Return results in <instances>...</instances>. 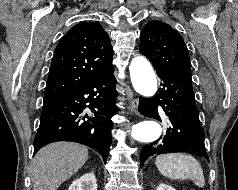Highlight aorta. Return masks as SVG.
<instances>
[{"label":"aorta","mask_w":238,"mask_h":190,"mask_svg":"<svg viewBox=\"0 0 238 190\" xmlns=\"http://www.w3.org/2000/svg\"><path fill=\"white\" fill-rule=\"evenodd\" d=\"M130 76L136 92L144 97H151L157 91V79L149 61L137 56L132 59ZM162 133L160 124L153 119H146L133 125L131 137L138 142L152 143L159 139Z\"/></svg>","instance_id":"1"}]
</instances>
